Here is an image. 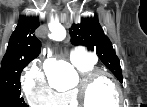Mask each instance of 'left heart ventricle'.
<instances>
[{
    "instance_id": "1",
    "label": "left heart ventricle",
    "mask_w": 147,
    "mask_h": 107,
    "mask_svg": "<svg viewBox=\"0 0 147 107\" xmlns=\"http://www.w3.org/2000/svg\"><path fill=\"white\" fill-rule=\"evenodd\" d=\"M117 92L108 79L98 80L88 93V101L91 107H113L118 103Z\"/></svg>"
}]
</instances>
